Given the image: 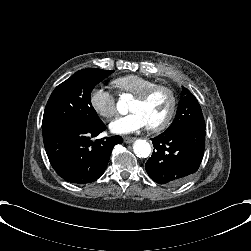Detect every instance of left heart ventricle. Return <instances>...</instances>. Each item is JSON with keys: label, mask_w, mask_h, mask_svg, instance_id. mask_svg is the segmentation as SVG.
Listing matches in <instances>:
<instances>
[{"label": "left heart ventricle", "mask_w": 251, "mask_h": 251, "mask_svg": "<svg viewBox=\"0 0 251 251\" xmlns=\"http://www.w3.org/2000/svg\"><path fill=\"white\" fill-rule=\"evenodd\" d=\"M172 98L165 89H160L154 93L147 102L134 100L132 110L142 111L149 121V125L157 123L165 118L171 107Z\"/></svg>", "instance_id": "b2bd125f"}]
</instances>
